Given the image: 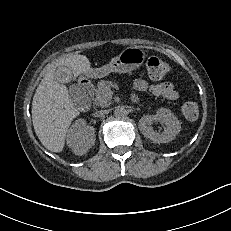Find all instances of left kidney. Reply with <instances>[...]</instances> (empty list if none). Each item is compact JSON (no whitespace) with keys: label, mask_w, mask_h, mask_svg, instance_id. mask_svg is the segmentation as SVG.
I'll list each match as a JSON object with an SVG mask.
<instances>
[{"label":"left kidney","mask_w":231,"mask_h":231,"mask_svg":"<svg viewBox=\"0 0 231 231\" xmlns=\"http://www.w3.org/2000/svg\"><path fill=\"white\" fill-rule=\"evenodd\" d=\"M154 122H161L165 125V129L162 133L154 131L152 127ZM138 126L143 135L154 143L170 142L181 130L180 121L166 108H160L155 115H144L139 120Z\"/></svg>","instance_id":"1"}]
</instances>
